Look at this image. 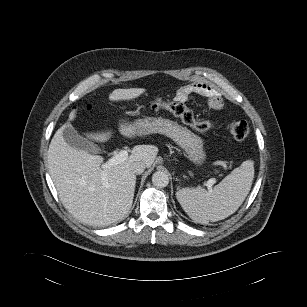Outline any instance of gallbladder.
Wrapping results in <instances>:
<instances>
[{
    "label": "gallbladder",
    "instance_id": "obj_1",
    "mask_svg": "<svg viewBox=\"0 0 307 307\" xmlns=\"http://www.w3.org/2000/svg\"><path fill=\"white\" fill-rule=\"evenodd\" d=\"M63 138L68 145L78 150H84L89 153L97 154L100 149L86 138L80 136L73 126L67 124L63 128Z\"/></svg>",
    "mask_w": 307,
    "mask_h": 307
}]
</instances>
